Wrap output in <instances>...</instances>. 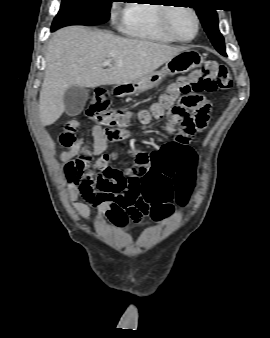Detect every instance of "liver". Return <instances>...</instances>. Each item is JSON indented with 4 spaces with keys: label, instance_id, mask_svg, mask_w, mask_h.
<instances>
[{
    "label": "liver",
    "instance_id": "1",
    "mask_svg": "<svg viewBox=\"0 0 270 338\" xmlns=\"http://www.w3.org/2000/svg\"><path fill=\"white\" fill-rule=\"evenodd\" d=\"M185 50L82 26L56 31L45 55V78L39 97L41 124L48 126L60 118L65 110L63 96L69 87L131 83ZM107 59L113 60V65L104 69L102 63Z\"/></svg>",
    "mask_w": 270,
    "mask_h": 338
}]
</instances>
